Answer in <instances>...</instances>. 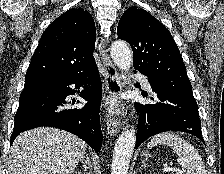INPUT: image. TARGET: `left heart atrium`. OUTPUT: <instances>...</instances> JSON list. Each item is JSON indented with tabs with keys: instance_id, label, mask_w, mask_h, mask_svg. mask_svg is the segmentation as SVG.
Here are the masks:
<instances>
[{
	"instance_id": "39dd6f15",
	"label": "left heart atrium",
	"mask_w": 224,
	"mask_h": 174,
	"mask_svg": "<svg viewBox=\"0 0 224 174\" xmlns=\"http://www.w3.org/2000/svg\"><path fill=\"white\" fill-rule=\"evenodd\" d=\"M111 106H114V102L111 103Z\"/></svg>"
}]
</instances>
